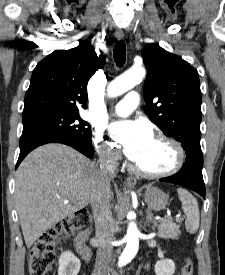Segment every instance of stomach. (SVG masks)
<instances>
[{"instance_id": "1", "label": "stomach", "mask_w": 225, "mask_h": 275, "mask_svg": "<svg viewBox=\"0 0 225 275\" xmlns=\"http://www.w3.org/2000/svg\"><path fill=\"white\" fill-rule=\"evenodd\" d=\"M144 200L149 209L160 211L168 204V196L156 187H147Z\"/></svg>"}]
</instances>
